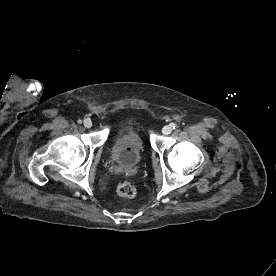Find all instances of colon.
Instances as JSON below:
<instances>
[{
	"label": "colon",
	"instance_id": "5ec220e1",
	"mask_svg": "<svg viewBox=\"0 0 276 276\" xmlns=\"http://www.w3.org/2000/svg\"><path fill=\"white\" fill-rule=\"evenodd\" d=\"M117 193L124 198H134L136 196V188L130 182L123 181L118 184Z\"/></svg>",
	"mask_w": 276,
	"mask_h": 276
}]
</instances>
